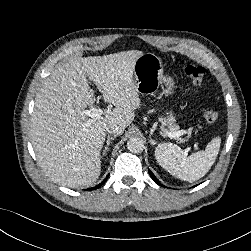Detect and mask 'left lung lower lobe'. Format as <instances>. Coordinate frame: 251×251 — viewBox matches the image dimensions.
Instances as JSON below:
<instances>
[{
  "mask_svg": "<svg viewBox=\"0 0 251 251\" xmlns=\"http://www.w3.org/2000/svg\"><path fill=\"white\" fill-rule=\"evenodd\" d=\"M148 171H149V174H150L151 178L153 179V181H154L155 183H157L158 185H161V183H160L159 180L155 177V175H154L150 170H148Z\"/></svg>",
  "mask_w": 251,
  "mask_h": 251,
  "instance_id": "obj_1",
  "label": "left lung lower lobe"
}]
</instances>
